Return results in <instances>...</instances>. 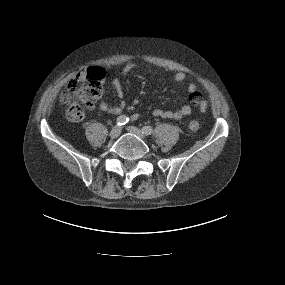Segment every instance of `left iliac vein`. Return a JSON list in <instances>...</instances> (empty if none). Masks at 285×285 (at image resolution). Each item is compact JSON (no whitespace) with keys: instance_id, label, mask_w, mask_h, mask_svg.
Returning <instances> with one entry per match:
<instances>
[{"instance_id":"4c4485c4","label":"left iliac vein","mask_w":285,"mask_h":285,"mask_svg":"<svg viewBox=\"0 0 285 285\" xmlns=\"http://www.w3.org/2000/svg\"><path fill=\"white\" fill-rule=\"evenodd\" d=\"M127 130L128 132L144 139L145 138V135L142 133V131L140 129H138L137 127H134V126H128L127 127Z\"/></svg>"}]
</instances>
